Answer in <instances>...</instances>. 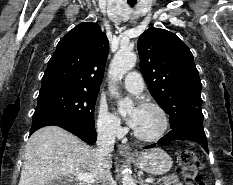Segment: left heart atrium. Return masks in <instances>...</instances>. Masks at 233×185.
<instances>
[{
	"mask_svg": "<svg viewBox=\"0 0 233 185\" xmlns=\"http://www.w3.org/2000/svg\"><path fill=\"white\" fill-rule=\"evenodd\" d=\"M138 109H139V108L134 109L133 113L130 114V116H129L128 120H127V121H128V124H129L132 128H134L135 125H136Z\"/></svg>",
	"mask_w": 233,
	"mask_h": 185,
	"instance_id": "left-heart-atrium-1",
	"label": "left heart atrium"
}]
</instances>
